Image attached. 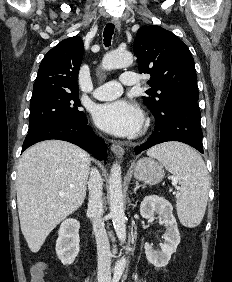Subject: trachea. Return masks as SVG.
Instances as JSON below:
<instances>
[{"mask_svg": "<svg viewBox=\"0 0 232 282\" xmlns=\"http://www.w3.org/2000/svg\"><path fill=\"white\" fill-rule=\"evenodd\" d=\"M114 33V25L111 23H108L104 29L103 37H104V45L106 47L110 46L111 39Z\"/></svg>", "mask_w": 232, "mask_h": 282, "instance_id": "1", "label": "trachea"}]
</instances>
